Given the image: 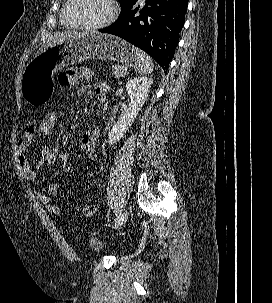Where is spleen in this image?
I'll return each instance as SVG.
<instances>
[{
	"label": "spleen",
	"mask_w": 272,
	"mask_h": 303,
	"mask_svg": "<svg viewBox=\"0 0 272 303\" xmlns=\"http://www.w3.org/2000/svg\"><path fill=\"white\" fill-rule=\"evenodd\" d=\"M137 59L135 61V71L139 74L142 75H147L153 72V61L152 59L149 57V55L147 53H145L144 51L138 49L137 47H133Z\"/></svg>",
	"instance_id": "spleen-1"
}]
</instances>
